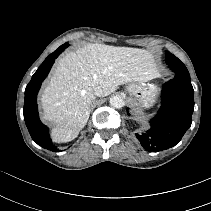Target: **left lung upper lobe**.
Returning a JSON list of instances; mask_svg holds the SVG:
<instances>
[{
	"mask_svg": "<svg viewBox=\"0 0 211 211\" xmlns=\"http://www.w3.org/2000/svg\"><path fill=\"white\" fill-rule=\"evenodd\" d=\"M166 63L175 72L189 73L185 65L169 51L165 52Z\"/></svg>",
	"mask_w": 211,
	"mask_h": 211,
	"instance_id": "5c2ea615",
	"label": "left lung upper lobe"
}]
</instances>
